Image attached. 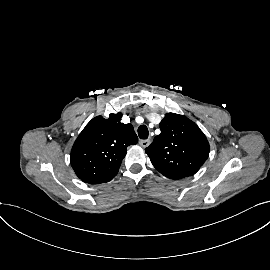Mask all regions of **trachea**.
Returning <instances> with one entry per match:
<instances>
[{"mask_svg": "<svg viewBox=\"0 0 270 270\" xmlns=\"http://www.w3.org/2000/svg\"><path fill=\"white\" fill-rule=\"evenodd\" d=\"M149 135L148 128L146 125H141L138 128V136L140 139H147Z\"/></svg>", "mask_w": 270, "mask_h": 270, "instance_id": "1", "label": "trachea"}]
</instances>
